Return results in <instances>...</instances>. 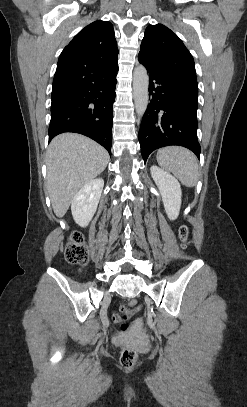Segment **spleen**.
Masks as SVG:
<instances>
[{"instance_id":"obj_1","label":"spleen","mask_w":247,"mask_h":407,"mask_svg":"<svg viewBox=\"0 0 247 407\" xmlns=\"http://www.w3.org/2000/svg\"><path fill=\"white\" fill-rule=\"evenodd\" d=\"M157 162L171 172L184 186L194 187L199 178L195 155L186 148L170 146L157 151Z\"/></svg>"}]
</instances>
